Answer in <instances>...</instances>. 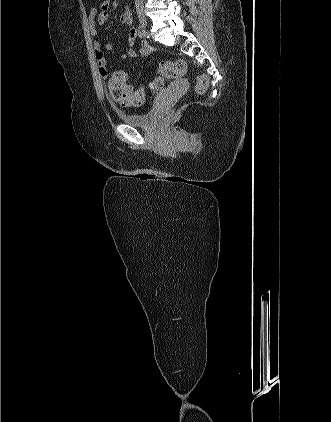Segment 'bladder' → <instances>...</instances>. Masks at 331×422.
Returning <instances> with one entry per match:
<instances>
[{"label":"bladder","mask_w":331,"mask_h":422,"mask_svg":"<svg viewBox=\"0 0 331 422\" xmlns=\"http://www.w3.org/2000/svg\"><path fill=\"white\" fill-rule=\"evenodd\" d=\"M160 101L161 97H158L153 106L145 112L119 111V117L128 125L141 128H152L155 126L158 118Z\"/></svg>","instance_id":"1"}]
</instances>
